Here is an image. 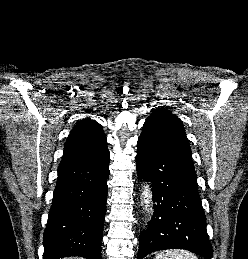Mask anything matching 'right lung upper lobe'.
Listing matches in <instances>:
<instances>
[{"instance_id":"obj_1","label":"right lung upper lobe","mask_w":248,"mask_h":259,"mask_svg":"<svg viewBox=\"0 0 248 259\" xmlns=\"http://www.w3.org/2000/svg\"><path fill=\"white\" fill-rule=\"evenodd\" d=\"M107 151V140L101 125L93 120L84 119L70 132L59 167L93 160Z\"/></svg>"}]
</instances>
